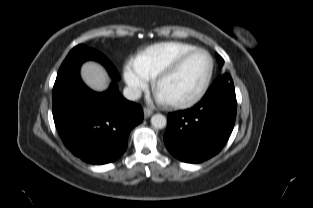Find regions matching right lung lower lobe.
<instances>
[{
  "mask_svg": "<svg viewBox=\"0 0 313 208\" xmlns=\"http://www.w3.org/2000/svg\"><path fill=\"white\" fill-rule=\"evenodd\" d=\"M90 59L104 64L119 79L116 68L99 51L83 46L69 53L53 87V118L62 141L75 156L91 164H105L125 152L129 133L143 120V111L123 98L115 83L103 93L86 87L79 70Z\"/></svg>",
  "mask_w": 313,
  "mask_h": 208,
  "instance_id": "1",
  "label": "right lung lower lobe"
}]
</instances>
